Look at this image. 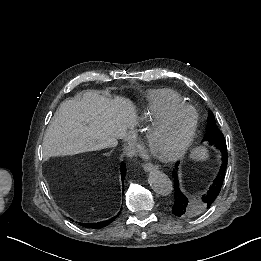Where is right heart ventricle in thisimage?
<instances>
[{
  "label": "right heart ventricle",
  "instance_id": "right-heart-ventricle-1",
  "mask_svg": "<svg viewBox=\"0 0 261 261\" xmlns=\"http://www.w3.org/2000/svg\"><path fill=\"white\" fill-rule=\"evenodd\" d=\"M132 110V121L160 112L169 105L184 104L183 96L172 88H149L136 91L125 99Z\"/></svg>",
  "mask_w": 261,
  "mask_h": 261
}]
</instances>
